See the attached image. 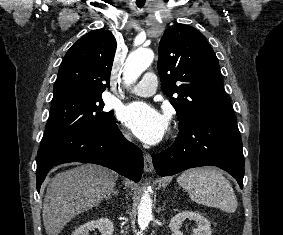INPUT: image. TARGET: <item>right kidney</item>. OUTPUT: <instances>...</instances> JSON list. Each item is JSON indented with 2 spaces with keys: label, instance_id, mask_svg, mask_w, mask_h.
<instances>
[{
  "label": "right kidney",
  "instance_id": "ca27d5eb",
  "mask_svg": "<svg viewBox=\"0 0 283 235\" xmlns=\"http://www.w3.org/2000/svg\"><path fill=\"white\" fill-rule=\"evenodd\" d=\"M98 228L101 235H112L114 231L113 222L108 218H100L79 226L72 235H88L89 231Z\"/></svg>",
  "mask_w": 283,
  "mask_h": 235
}]
</instances>
